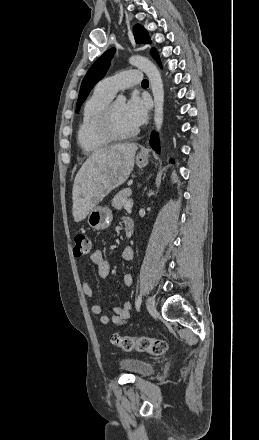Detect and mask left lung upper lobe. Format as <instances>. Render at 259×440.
I'll return each mask as SVG.
<instances>
[{"mask_svg": "<svg viewBox=\"0 0 259 440\" xmlns=\"http://www.w3.org/2000/svg\"><path fill=\"white\" fill-rule=\"evenodd\" d=\"M133 31L137 43H144V44L150 43L149 35L147 31L144 29V27H142L141 25H136ZM154 51L155 49L151 50L152 53ZM114 54H115L114 48L107 50L102 56H100L95 61V63L88 70L87 74L85 75L82 81V85L80 88V93L77 101V106H76V112L79 111L82 103L85 101L92 87L99 80H101L107 73L110 66V61L112 60Z\"/></svg>", "mask_w": 259, "mask_h": 440, "instance_id": "obj_1", "label": "left lung upper lobe"}]
</instances>
